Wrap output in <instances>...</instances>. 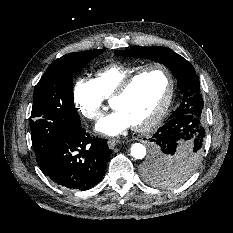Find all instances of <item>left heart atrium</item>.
<instances>
[{"label": "left heart atrium", "instance_id": "39dd6f15", "mask_svg": "<svg viewBox=\"0 0 233 233\" xmlns=\"http://www.w3.org/2000/svg\"><path fill=\"white\" fill-rule=\"evenodd\" d=\"M131 126V121L122 111L114 110L112 113L102 118L97 123L95 129L101 134L116 136L123 133Z\"/></svg>", "mask_w": 233, "mask_h": 233}]
</instances>
